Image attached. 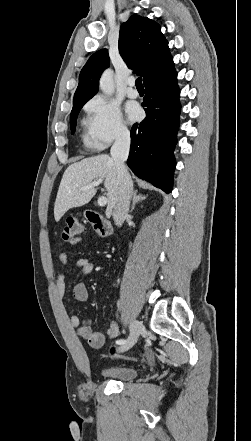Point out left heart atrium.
I'll return each instance as SVG.
<instances>
[{
    "instance_id": "1",
    "label": "left heart atrium",
    "mask_w": 251,
    "mask_h": 441,
    "mask_svg": "<svg viewBox=\"0 0 251 441\" xmlns=\"http://www.w3.org/2000/svg\"><path fill=\"white\" fill-rule=\"evenodd\" d=\"M127 116L130 121H136L141 117V109L135 103H130L126 107Z\"/></svg>"
}]
</instances>
